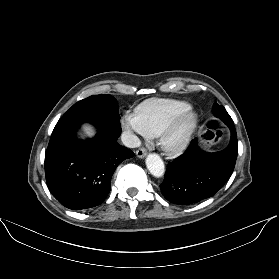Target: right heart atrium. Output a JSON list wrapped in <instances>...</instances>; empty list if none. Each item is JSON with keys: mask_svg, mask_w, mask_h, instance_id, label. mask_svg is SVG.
<instances>
[{"mask_svg": "<svg viewBox=\"0 0 279 279\" xmlns=\"http://www.w3.org/2000/svg\"><path fill=\"white\" fill-rule=\"evenodd\" d=\"M122 127L128 132L132 133L134 141L138 137L147 136L144 132L137 113L126 112L121 120Z\"/></svg>", "mask_w": 279, "mask_h": 279, "instance_id": "1", "label": "right heart atrium"}]
</instances>
